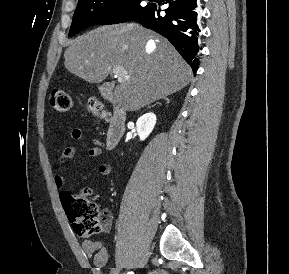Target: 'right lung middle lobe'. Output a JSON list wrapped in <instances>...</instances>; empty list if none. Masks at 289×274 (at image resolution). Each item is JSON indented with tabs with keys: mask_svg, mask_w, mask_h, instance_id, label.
<instances>
[{
	"mask_svg": "<svg viewBox=\"0 0 289 274\" xmlns=\"http://www.w3.org/2000/svg\"><path fill=\"white\" fill-rule=\"evenodd\" d=\"M140 0H79L69 36L92 25H108L136 19L147 7Z\"/></svg>",
	"mask_w": 289,
	"mask_h": 274,
	"instance_id": "dd1d6c3e",
	"label": "right lung middle lobe"
}]
</instances>
